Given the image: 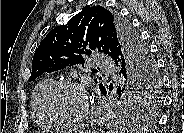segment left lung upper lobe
Wrapping results in <instances>:
<instances>
[{"mask_svg":"<svg viewBox=\"0 0 184 133\" xmlns=\"http://www.w3.org/2000/svg\"><path fill=\"white\" fill-rule=\"evenodd\" d=\"M93 51L107 54L121 69L115 111L122 116L152 117L160 101L155 61L130 24L102 6L83 9L46 35L35 51L29 81L45 72L84 64L83 56ZM99 89L106 90L102 83Z\"/></svg>","mask_w":184,"mask_h":133,"instance_id":"obj_1","label":"left lung upper lobe"}]
</instances>
